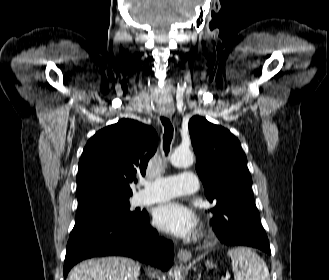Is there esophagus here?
I'll return each instance as SVG.
<instances>
[{"label":"esophagus","instance_id":"34e87169","mask_svg":"<svg viewBox=\"0 0 329 280\" xmlns=\"http://www.w3.org/2000/svg\"><path fill=\"white\" fill-rule=\"evenodd\" d=\"M164 116L166 117H171V114L170 113H164L163 114ZM192 257V254L189 250H186V249H180L179 252H178V258L180 261H189Z\"/></svg>","mask_w":329,"mask_h":280}]
</instances>
